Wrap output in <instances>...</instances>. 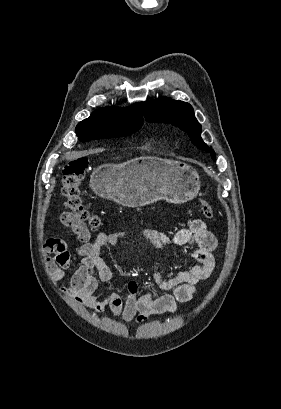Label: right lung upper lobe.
Masks as SVG:
<instances>
[{
    "label": "right lung upper lobe",
    "instance_id": "1",
    "mask_svg": "<svg viewBox=\"0 0 281 409\" xmlns=\"http://www.w3.org/2000/svg\"><path fill=\"white\" fill-rule=\"evenodd\" d=\"M143 124L139 103L126 108L106 107L94 111L91 116L81 121L80 127H129Z\"/></svg>",
    "mask_w": 281,
    "mask_h": 409
}]
</instances>
